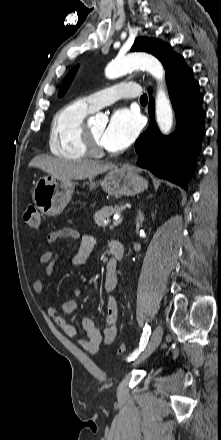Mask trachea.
Returning a JSON list of instances; mask_svg holds the SVG:
<instances>
[{"mask_svg": "<svg viewBox=\"0 0 221 440\" xmlns=\"http://www.w3.org/2000/svg\"><path fill=\"white\" fill-rule=\"evenodd\" d=\"M147 95L146 94H144V95H142L141 96V98H140V102H147Z\"/></svg>", "mask_w": 221, "mask_h": 440, "instance_id": "3493384b", "label": "trachea"}]
</instances>
